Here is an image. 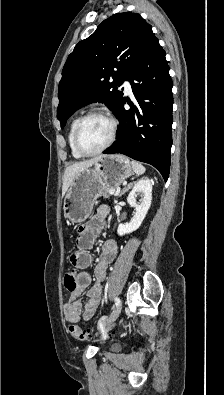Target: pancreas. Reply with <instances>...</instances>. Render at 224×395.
Segmentation results:
<instances>
[{"instance_id":"pancreas-1","label":"pancreas","mask_w":224,"mask_h":395,"mask_svg":"<svg viewBox=\"0 0 224 395\" xmlns=\"http://www.w3.org/2000/svg\"><path fill=\"white\" fill-rule=\"evenodd\" d=\"M109 190H111V189H107V190H105V191L103 192L102 196H103L104 198H109V197H110Z\"/></svg>"}]
</instances>
